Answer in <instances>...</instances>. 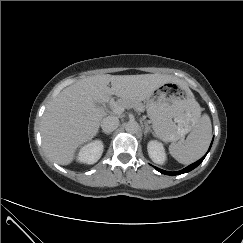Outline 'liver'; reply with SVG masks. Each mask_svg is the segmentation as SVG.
<instances>
[{
  "mask_svg": "<svg viewBox=\"0 0 243 243\" xmlns=\"http://www.w3.org/2000/svg\"><path fill=\"white\" fill-rule=\"evenodd\" d=\"M111 83V87H109ZM166 83L184 85L170 75H95L63 89L47 106L41 121L42 143L47 154L58 164L68 165L76 150L98 132L104 113L96 103L116 95L125 100H148Z\"/></svg>",
  "mask_w": 243,
  "mask_h": 243,
  "instance_id": "1",
  "label": "liver"
}]
</instances>
